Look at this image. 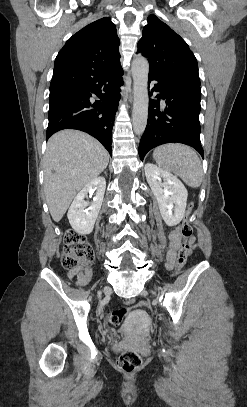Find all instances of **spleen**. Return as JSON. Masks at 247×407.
<instances>
[{
	"mask_svg": "<svg viewBox=\"0 0 247 407\" xmlns=\"http://www.w3.org/2000/svg\"><path fill=\"white\" fill-rule=\"evenodd\" d=\"M156 163L164 170L174 172L186 185L198 188L203 180V169L198 155L190 147L169 143L153 152Z\"/></svg>",
	"mask_w": 247,
	"mask_h": 407,
	"instance_id": "spleen-1",
	"label": "spleen"
}]
</instances>
